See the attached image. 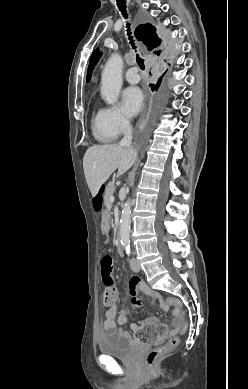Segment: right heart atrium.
I'll use <instances>...</instances> for the list:
<instances>
[{
	"label": "right heart atrium",
	"instance_id": "1",
	"mask_svg": "<svg viewBox=\"0 0 248 389\" xmlns=\"http://www.w3.org/2000/svg\"><path fill=\"white\" fill-rule=\"evenodd\" d=\"M108 125L115 136L130 128V118L121 108L110 107L105 109Z\"/></svg>",
	"mask_w": 248,
	"mask_h": 389
}]
</instances>
